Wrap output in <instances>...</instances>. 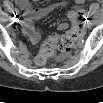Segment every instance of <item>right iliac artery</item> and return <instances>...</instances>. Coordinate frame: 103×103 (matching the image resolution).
<instances>
[{"label":"right iliac artery","mask_w":103,"mask_h":103,"mask_svg":"<svg viewBox=\"0 0 103 103\" xmlns=\"http://www.w3.org/2000/svg\"><path fill=\"white\" fill-rule=\"evenodd\" d=\"M12 13H13L14 16H17V15L19 14V11H18L17 8H14V9L12 10Z\"/></svg>","instance_id":"obj_1"}]
</instances>
